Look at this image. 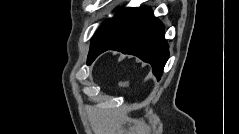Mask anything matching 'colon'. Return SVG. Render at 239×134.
Here are the masks:
<instances>
[{
  "mask_svg": "<svg viewBox=\"0 0 239 134\" xmlns=\"http://www.w3.org/2000/svg\"><path fill=\"white\" fill-rule=\"evenodd\" d=\"M126 85V82H121V86H125Z\"/></svg>",
  "mask_w": 239,
  "mask_h": 134,
  "instance_id": "obj_1",
  "label": "colon"
}]
</instances>
